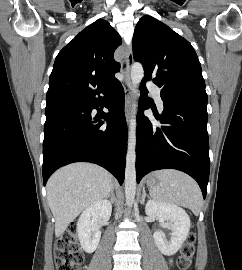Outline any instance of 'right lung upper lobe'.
I'll list each match as a JSON object with an SVG mask.
<instances>
[{
  "instance_id": "1",
  "label": "right lung upper lobe",
  "mask_w": 242,
  "mask_h": 270,
  "mask_svg": "<svg viewBox=\"0 0 242 270\" xmlns=\"http://www.w3.org/2000/svg\"><path fill=\"white\" fill-rule=\"evenodd\" d=\"M122 40L99 19L82 30L57 55L49 78L47 105L86 96L113 84L120 64L113 58Z\"/></svg>"
}]
</instances>
